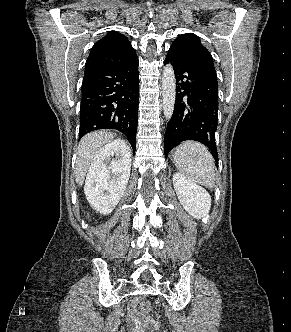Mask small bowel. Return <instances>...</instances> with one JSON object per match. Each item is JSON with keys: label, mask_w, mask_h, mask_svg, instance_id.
I'll return each instance as SVG.
<instances>
[{"label": "small bowel", "mask_w": 291, "mask_h": 332, "mask_svg": "<svg viewBox=\"0 0 291 332\" xmlns=\"http://www.w3.org/2000/svg\"><path fill=\"white\" fill-rule=\"evenodd\" d=\"M133 319H134L136 322H139V321H143V320H145L144 316H142L141 314H139V313L136 312V311L133 312Z\"/></svg>", "instance_id": "obj_1"}]
</instances>
